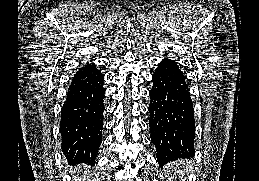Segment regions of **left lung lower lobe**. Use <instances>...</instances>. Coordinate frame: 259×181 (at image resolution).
I'll return each mask as SVG.
<instances>
[{"label":"left lung lower lobe","instance_id":"0a47b994","mask_svg":"<svg viewBox=\"0 0 259 181\" xmlns=\"http://www.w3.org/2000/svg\"><path fill=\"white\" fill-rule=\"evenodd\" d=\"M152 81L149 126L157 161L162 166L194 155V109L184 73L175 60L163 59Z\"/></svg>","mask_w":259,"mask_h":181}]
</instances>
